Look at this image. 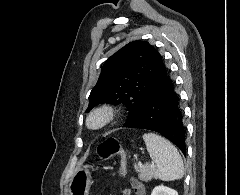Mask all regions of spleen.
<instances>
[{"label": "spleen", "mask_w": 240, "mask_h": 195, "mask_svg": "<svg viewBox=\"0 0 240 195\" xmlns=\"http://www.w3.org/2000/svg\"><path fill=\"white\" fill-rule=\"evenodd\" d=\"M143 139L151 159L157 163L156 173L159 179H181L184 175V163L177 147L157 133H144Z\"/></svg>", "instance_id": "3e777b00"}]
</instances>
